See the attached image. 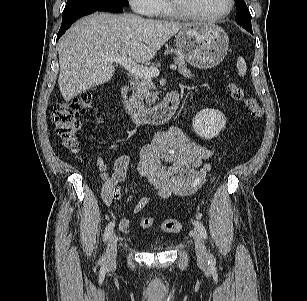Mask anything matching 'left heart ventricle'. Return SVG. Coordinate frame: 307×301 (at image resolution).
Here are the masks:
<instances>
[{
  "mask_svg": "<svg viewBox=\"0 0 307 301\" xmlns=\"http://www.w3.org/2000/svg\"><path fill=\"white\" fill-rule=\"evenodd\" d=\"M192 12L204 15L223 13L229 6V0H180Z\"/></svg>",
  "mask_w": 307,
  "mask_h": 301,
  "instance_id": "b2bd125f",
  "label": "left heart ventricle"
}]
</instances>
